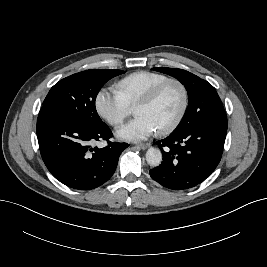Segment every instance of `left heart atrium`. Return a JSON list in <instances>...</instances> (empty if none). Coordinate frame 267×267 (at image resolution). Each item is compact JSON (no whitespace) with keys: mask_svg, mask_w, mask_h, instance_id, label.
<instances>
[{"mask_svg":"<svg viewBox=\"0 0 267 267\" xmlns=\"http://www.w3.org/2000/svg\"><path fill=\"white\" fill-rule=\"evenodd\" d=\"M157 131L154 123L146 116H137L117 131L121 139L139 141L147 139Z\"/></svg>","mask_w":267,"mask_h":267,"instance_id":"39dd6f15","label":"left heart atrium"}]
</instances>
